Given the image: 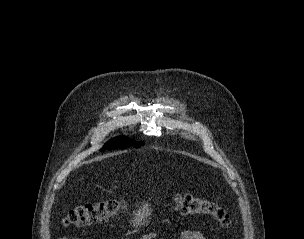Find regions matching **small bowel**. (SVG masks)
<instances>
[{"instance_id": "1", "label": "small bowel", "mask_w": 304, "mask_h": 239, "mask_svg": "<svg viewBox=\"0 0 304 239\" xmlns=\"http://www.w3.org/2000/svg\"><path fill=\"white\" fill-rule=\"evenodd\" d=\"M154 237L153 233H148L141 237L140 239H150ZM181 239H207L200 231L198 230H191V229H184L181 231L180 234ZM58 239H70L66 237L58 238ZM73 239H84L81 237L73 238Z\"/></svg>"}]
</instances>
